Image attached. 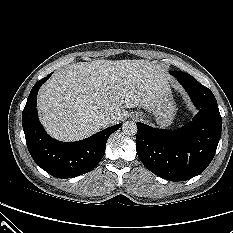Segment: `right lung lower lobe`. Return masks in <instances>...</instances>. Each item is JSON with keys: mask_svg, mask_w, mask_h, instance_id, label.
Instances as JSON below:
<instances>
[{"mask_svg": "<svg viewBox=\"0 0 233 233\" xmlns=\"http://www.w3.org/2000/svg\"><path fill=\"white\" fill-rule=\"evenodd\" d=\"M51 74L33 86L22 113L23 130L28 150L39 167L54 177L72 178L94 169L104 156L107 139L122 124L77 142L51 138L40 124L36 108L38 90Z\"/></svg>", "mask_w": 233, "mask_h": 233, "instance_id": "98d812e1", "label": "right lung lower lobe"}]
</instances>
